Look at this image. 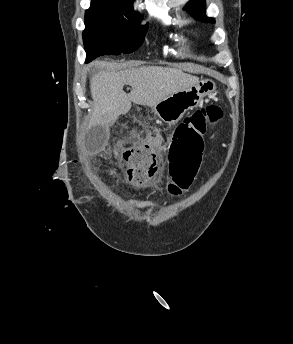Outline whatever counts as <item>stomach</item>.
I'll return each instance as SVG.
<instances>
[{"mask_svg":"<svg viewBox=\"0 0 293 344\" xmlns=\"http://www.w3.org/2000/svg\"><path fill=\"white\" fill-rule=\"evenodd\" d=\"M215 88L216 84L213 80H201L188 89L164 98L153 106V111L163 122L173 125L181 120L187 111L197 107Z\"/></svg>","mask_w":293,"mask_h":344,"instance_id":"stomach-1","label":"stomach"}]
</instances>
